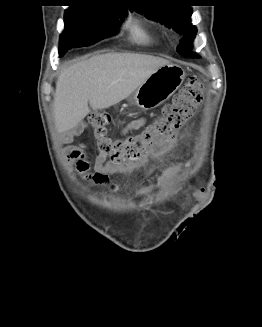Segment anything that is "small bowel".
<instances>
[{
    "mask_svg": "<svg viewBox=\"0 0 262 327\" xmlns=\"http://www.w3.org/2000/svg\"><path fill=\"white\" fill-rule=\"evenodd\" d=\"M147 120L144 117H140L128 122L121 130L122 135H126L128 132L142 128L146 124ZM82 129V125L75 126L69 131L64 140L70 142L73 136L79 133ZM176 143V135H173L169 139H166L154 146H152L145 154L140 158L132 161H127L123 164H113L106 160L102 155H97L93 172H90L91 164L85 158L84 150L82 147L70 146L64 150V159L67 163L74 166L76 171L87 181L95 185L109 186L112 190H115V185L110 180V175H129L135 171H142L144 174H150L154 169V164L157 163L162 156L168 153ZM180 170L179 165H172L167 168L159 179L160 186L170 185ZM148 191L144 189L143 192ZM192 195H197L198 199H203L207 194L206 188H192Z\"/></svg>",
    "mask_w": 262,
    "mask_h": 327,
    "instance_id": "c3829d8e",
    "label": "small bowel"
}]
</instances>
